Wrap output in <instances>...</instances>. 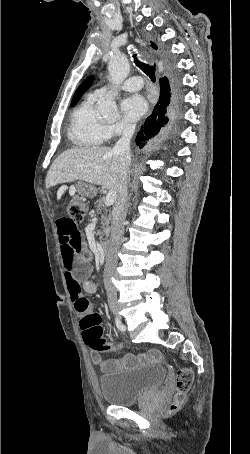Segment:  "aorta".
Returning <instances> with one entry per match:
<instances>
[{
	"label": "aorta",
	"mask_w": 250,
	"mask_h": 454,
	"mask_svg": "<svg viewBox=\"0 0 250 454\" xmlns=\"http://www.w3.org/2000/svg\"><path fill=\"white\" fill-rule=\"evenodd\" d=\"M108 71L110 82L115 86L120 85L128 77L130 72V64L127 57L122 53L114 54L109 60ZM116 96L117 91H113L99 101L98 111L100 114L109 117H115L117 115Z\"/></svg>",
	"instance_id": "1"
}]
</instances>
